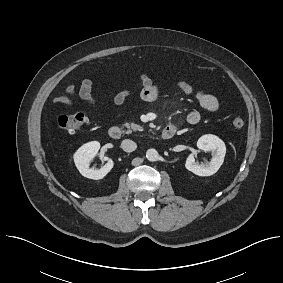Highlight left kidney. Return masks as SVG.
Instances as JSON below:
<instances>
[{
	"label": "left kidney",
	"mask_w": 283,
	"mask_h": 283,
	"mask_svg": "<svg viewBox=\"0 0 283 283\" xmlns=\"http://www.w3.org/2000/svg\"><path fill=\"white\" fill-rule=\"evenodd\" d=\"M198 149L204 152H212V159L204 165H199L195 162L193 154H190L185 163L187 170L198 176H211L215 174L223 164L226 154L225 143L215 135H203L197 141Z\"/></svg>",
	"instance_id": "left-kidney-1"
}]
</instances>
